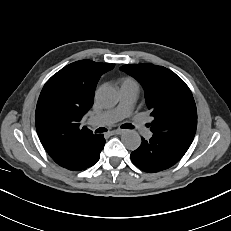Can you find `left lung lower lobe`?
<instances>
[{
	"label": "left lung lower lobe",
	"mask_w": 231,
	"mask_h": 231,
	"mask_svg": "<svg viewBox=\"0 0 231 231\" xmlns=\"http://www.w3.org/2000/svg\"><path fill=\"white\" fill-rule=\"evenodd\" d=\"M189 147L172 138L153 134L149 140L142 139L138 149L130 155L132 162L145 172H158L176 164Z\"/></svg>",
	"instance_id": "1"
}]
</instances>
